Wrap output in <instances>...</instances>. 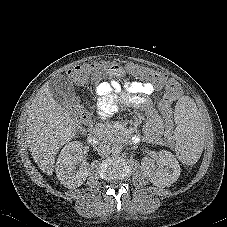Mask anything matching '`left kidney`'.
<instances>
[{
    "label": "left kidney",
    "mask_w": 227,
    "mask_h": 227,
    "mask_svg": "<svg viewBox=\"0 0 227 227\" xmlns=\"http://www.w3.org/2000/svg\"><path fill=\"white\" fill-rule=\"evenodd\" d=\"M158 156L157 167L152 161H144V175L155 186L169 187L179 178L181 172L180 165L169 151H160Z\"/></svg>",
    "instance_id": "5707ae66"
}]
</instances>
